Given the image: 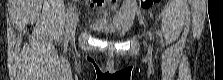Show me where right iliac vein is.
<instances>
[{"mask_svg":"<svg viewBox=\"0 0 223 80\" xmlns=\"http://www.w3.org/2000/svg\"><path fill=\"white\" fill-rule=\"evenodd\" d=\"M77 21H78V17L77 15L75 14L73 16V19L71 21V25H70V31H69V36H68V39L71 38L75 32V29H76V25H77Z\"/></svg>","mask_w":223,"mask_h":80,"instance_id":"1","label":"right iliac vein"}]
</instances>
